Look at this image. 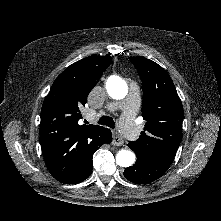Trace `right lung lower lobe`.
<instances>
[{
  "mask_svg": "<svg viewBox=\"0 0 221 221\" xmlns=\"http://www.w3.org/2000/svg\"><path fill=\"white\" fill-rule=\"evenodd\" d=\"M111 140H112L111 131L109 129H106V131L102 135L101 144L97 147H91L86 151L83 159L81 160L80 166L77 169L76 174L65 184H75L86 180L90 176L93 169V161H92L93 154L97 149H99L101 145L105 143H110Z\"/></svg>",
  "mask_w": 221,
  "mask_h": 221,
  "instance_id": "1",
  "label": "right lung lower lobe"
}]
</instances>
